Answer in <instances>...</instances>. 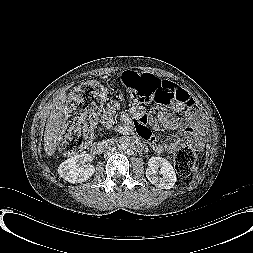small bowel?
<instances>
[{
	"mask_svg": "<svg viewBox=\"0 0 253 253\" xmlns=\"http://www.w3.org/2000/svg\"><path fill=\"white\" fill-rule=\"evenodd\" d=\"M178 91L172 97V104L170 110L173 112H187L189 116L188 123L179 122L176 117L169 110H160L157 115L149 114L143 111L140 107H134L132 109V115L134 118V124L138 135L148 140L151 143L153 150L157 152H162L163 150H171L175 143V139H169L165 142H161L156 139L149 126L156 124L157 122L161 124L164 128L173 130L181 129L188 135L189 138L193 139L194 135V124L199 119V113L197 110L193 109V97L190 93L184 89L174 85ZM120 110V105L116 101H111L105 107L101 115V124L105 129H110L114 123V115H116ZM196 144L200 145V142L196 140Z\"/></svg>",
	"mask_w": 253,
	"mask_h": 253,
	"instance_id": "small-bowel-1",
	"label": "small bowel"
}]
</instances>
